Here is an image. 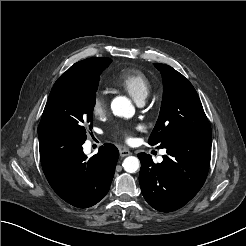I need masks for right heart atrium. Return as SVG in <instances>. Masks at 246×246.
<instances>
[{
	"mask_svg": "<svg viewBox=\"0 0 246 246\" xmlns=\"http://www.w3.org/2000/svg\"><path fill=\"white\" fill-rule=\"evenodd\" d=\"M91 110L96 118H101L106 115L108 111V100L103 93H97L94 96Z\"/></svg>",
	"mask_w": 246,
	"mask_h": 246,
	"instance_id": "right-heart-atrium-1",
	"label": "right heart atrium"
}]
</instances>
